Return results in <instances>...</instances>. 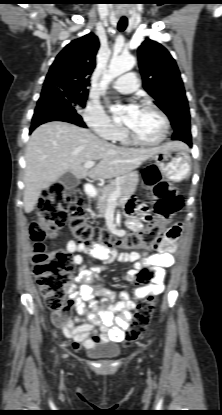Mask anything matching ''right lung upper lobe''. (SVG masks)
I'll list each match as a JSON object with an SVG mask.
<instances>
[{"mask_svg": "<svg viewBox=\"0 0 222 415\" xmlns=\"http://www.w3.org/2000/svg\"><path fill=\"white\" fill-rule=\"evenodd\" d=\"M99 46L98 37L93 33L66 45L51 65L42 93H57L60 89L88 93L90 75L96 65L95 56Z\"/></svg>", "mask_w": 222, "mask_h": 415, "instance_id": "obj_1", "label": "right lung upper lobe"}]
</instances>
